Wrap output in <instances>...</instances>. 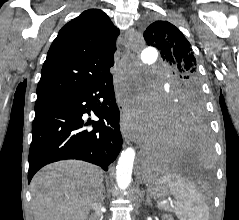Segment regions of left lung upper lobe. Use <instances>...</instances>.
Returning <instances> with one entry per match:
<instances>
[{
  "mask_svg": "<svg viewBox=\"0 0 239 220\" xmlns=\"http://www.w3.org/2000/svg\"><path fill=\"white\" fill-rule=\"evenodd\" d=\"M146 43L160 50L177 73L169 90L168 107L180 112L193 109L204 111L200 76L191 45L182 32L167 21H156L144 32Z\"/></svg>",
  "mask_w": 239,
  "mask_h": 220,
  "instance_id": "left-lung-upper-lobe-1",
  "label": "left lung upper lobe"
}]
</instances>
